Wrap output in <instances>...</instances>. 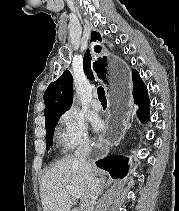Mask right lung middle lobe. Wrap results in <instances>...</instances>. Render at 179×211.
Instances as JSON below:
<instances>
[{
  "mask_svg": "<svg viewBox=\"0 0 179 211\" xmlns=\"http://www.w3.org/2000/svg\"><path fill=\"white\" fill-rule=\"evenodd\" d=\"M60 116H55V117H53V118H51V119H49L48 121L45 122L47 150L53 144V142H52L53 141V133H54L56 123L59 120Z\"/></svg>",
  "mask_w": 179,
  "mask_h": 211,
  "instance_id": "dd1d6c3e",
  "label": "right lung middle lobe"
}]
</instances>
